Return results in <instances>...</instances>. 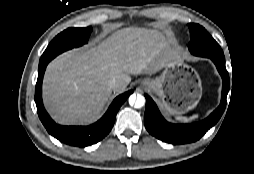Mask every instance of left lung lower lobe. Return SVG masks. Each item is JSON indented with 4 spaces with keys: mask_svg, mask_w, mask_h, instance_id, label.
<instances>
[{
    "mask_svg": "<svg viewBox=\"0 0 254 174\" xmlns=\"http://www.w3.org/2000/svg\"><path fill=\"white\" fill-rule=\"evenodd\" d=\"M217 67L222 80V99L219 107L206 119L193 124H171L160 114L154 101L145 94L146 108L144 124L148 132L163 142L174 145L191 143L199 140L222 116L226 107V97L229 91V74L225 67V59L208 57Z\"/></svg>",
    "mask_w": 254,
    "mask_h": 174,
    "instance_id": "left-lung-lower-lobe-1",
    "label": "left lung lower lobe"
}]
</instances>
